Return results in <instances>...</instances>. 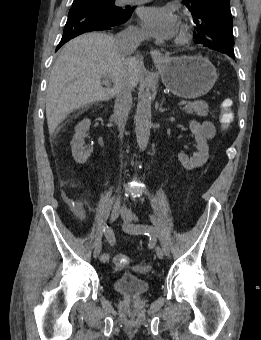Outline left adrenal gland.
Listing matches in <instances>:
<instances>
[{
	"label": "left adrenal gland",
	"instance_id": "obj_1",
	"mask_svg": "<svg viewBox=\"0 0 261 340\" xmlns=\"http://www.w3.org/2000/svg\"><path fill=\"white\" fill-rule=\"evenodd\" d=\"M162 104H163V102L161 103L160 110H161V111H164L165 109L162 108Z\"/></svg>",
	"mask_w": 261,
	"mask_h": 340
}]
</instances>
